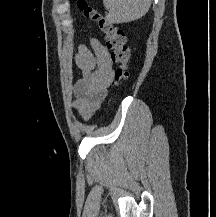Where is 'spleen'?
Listing matches in <instances>:
<instances>
[{
    "label": "spleen",
    "instance_id": "3e777b00",
    "mask_svg": "<svg viewBox=\"0 0 216 217\" xmlns=\"http://www.w3.org/2000/svg\"><path fill=\"white\" fill-rule=\"evenodd\" d=\"M109 11L106 20L109 23H127L144 16L150 8L151 0H103Z\"/></svg>",
    "mask_w": 216,
    "mask_h": 217
}]
</instances>
